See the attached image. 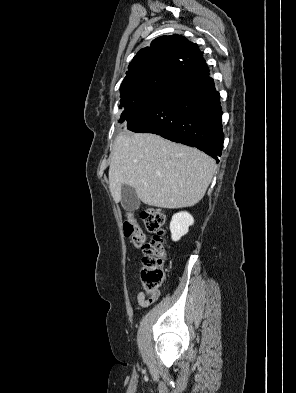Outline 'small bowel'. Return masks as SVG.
<instances>
[{"label":"small bowel","instance_id":"small-bowel-1","mask_svg":"<svg viewBox=\"0 0 296 393\" xmlns=\"http://www.w3.org/2000/svg\"><path fill=\"white\" fill-rule=\"evenodd\" d=\"M159 297V292L155 296H146L143 291L137 294V303L140 308H145L154 303Z\"/></svg>","mask_w":296,"mask_h":393}]
</instances>
